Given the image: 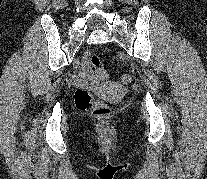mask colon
<instances>
[{
	"label": "colon",
	"mask_w": 207,
	"mask_h": 179,
	"mask_svg": "<svg viewBox=\"0 0 207 179\" xmlns=\"http://www.w3.org/2000/svg\"><path fill=\"white\" fill-rule=\"evenodd\" d=\"M90 64L94 67L96 73L100 80H106L108 74L104 69L100 59L97 55L92 54L89 59ZM132 81V76L130 74H124L121 77V82L123 84H129ZM75 104L77 108L81 111H90L95 117L106 118L110 116L111 109L94 98L90 90L86 88H79L75 92Z\"/></svg>",
	"instance_id": "1"
}]
</instances>
